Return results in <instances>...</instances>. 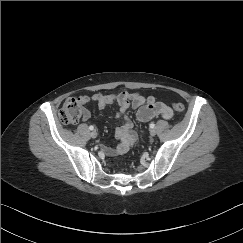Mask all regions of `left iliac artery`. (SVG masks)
Instances as JSON below:
<instances>
[{"mask_svg":"<svg viewBox=\"0 0 243 243\" xmlns=\"http://www.w3.org/2000/svg\"><path fill=\"white\" fill-rule=\"evenodd\" d=\"M149 127L153 129L155 127V124L154 123H150Z\"/></svg>","mask_w":243,"mask_h":243,"instance_id":"44dca946","label":"left iliac artery"}]
</instances>
